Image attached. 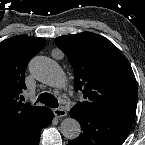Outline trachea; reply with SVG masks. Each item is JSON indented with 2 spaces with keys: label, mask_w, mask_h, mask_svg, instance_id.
<instances>
[{
  "label": "trachea",
  "mask_w": 145,
  "mask_h": 145,
  "mask_svg": "<svg viewBox=\"0 0 145 145\" xmlns=\"http://www.w3.org/2000/svg\"><path fill=\"white\" fill-rule=\"evenodd\" d=\"M37 101L44 103L46 106L51 108L58 107V101L54 95L50 93H42L38 96Z\"/></svg>",
  "instance_id": "3493384b"
}]
</instances>
